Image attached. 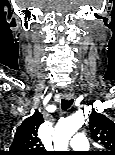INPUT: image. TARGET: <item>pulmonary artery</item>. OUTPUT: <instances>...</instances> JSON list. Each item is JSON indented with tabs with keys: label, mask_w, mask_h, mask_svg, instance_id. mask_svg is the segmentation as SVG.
Listing matches in <instances>:
<instances>
[{
	"label": "pulmonary artery",
	"mask_w": 115,
	"mask_h": 155,
	"mask_svg": "<svg viewBox=\"0 0 115 155\" xmlns=\"http://www.w3.org/2000/svg\"><path fill=\"white\" fill-rule=\"evenodd\" d=\"M70 146L76 151H84L89 148V142L83 133H76L70 140Z\"/></svg>",
	"instance_id": "pulmonary-artery-1"
}]
</instances>
